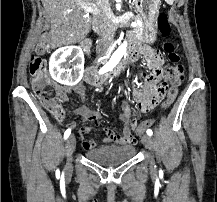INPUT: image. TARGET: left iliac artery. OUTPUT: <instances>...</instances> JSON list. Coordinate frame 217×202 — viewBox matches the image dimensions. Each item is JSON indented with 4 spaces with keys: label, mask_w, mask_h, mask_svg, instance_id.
I'll return each mask as SVG.
<instances>
[{
    "label": "left iliac artery",
    "mask_w": 217,
    "mask_h": 202,
    "mask_svg": "<svg viewBox=\"0 0 217 202\" xmlns=\"http://www.w3.org/2000/svg\"><path fill=\"white\" fill-rule=\"evenodd\" d=\"M146 133H147L149 136H152V134H153V132H152L151 129H148V130L146 131Z\"/></svg>",
    "instance_id": "1"
}]
</instances>
